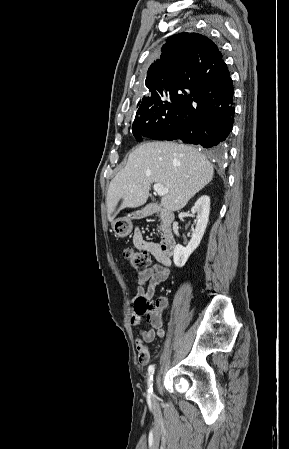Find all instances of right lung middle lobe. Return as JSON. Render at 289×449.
I'll use <instances>...</instances> for the list:
<instances>
[{
  "mask_svg": "<svg viewBox=\"0 0 289 449\" xmlns=\"http://www.w3.org/2000/svg\"><path fill=\"white\" fill-rule=\"evenodd\" d=\"M178 99V89H169L141 100L132 125L134 137L141 141L142 136L152 138L167 128L176 117Z\"/></svg>",
  "mask_w": 289,
  "mask_h": 449,
  "instance_id": "1",
  "label": "right lung middle lobe"
}]
</instances>
